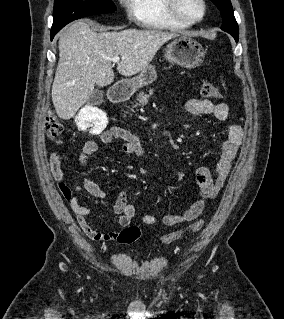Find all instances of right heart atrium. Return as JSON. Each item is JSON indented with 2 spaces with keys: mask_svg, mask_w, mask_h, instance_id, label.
<instances>
[{
  "mask_svg": "<svg viewBox=\"0 0 284 319\" xmlns=\"http://www.w3.org/2000/svg\"><path fill=\"white\" fill-rule=\"evenodd\" d=\"M129 18L135 17V0H118Z\"/></svg>",
  "mask_w": 284,
  "mask_h": 319,
  "instance_id": "obj_1",
  "label": "right heart atrium"
}]
</instances>
